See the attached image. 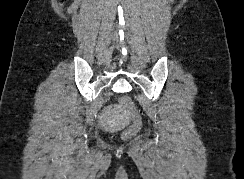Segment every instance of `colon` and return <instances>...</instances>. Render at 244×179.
Here are the masks:
<instances>
[{
  "label": "colon",
  "instance_id": "colon-1",
  "mask_svg": "<svg viewBox=\"0 0 244 179\" xmlns=\"http://www.w3.org/2000/svg\"><path fill=\"white\" fill-rule=\"evenodd\" d=\"M116 100L120 101V104L128 109V115H131V120L134 121V125H128L122 137L136 138V133H140L141 125H143L142 112H139L137 107H134V102H132L129 96H117Z\"/></svg>",
  "mask_w": 244,
  "mask_h": 179
}]
</instances>
